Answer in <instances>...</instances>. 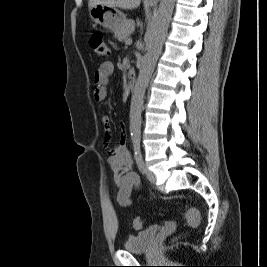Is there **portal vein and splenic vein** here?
<instances>
[{
    "mask_svg": "<svg viewBox=\"0 0 267 267\" xmlns=\"http://www.w3.org/2000/svg\"><path fill=\"white\" fill-rule=\"evenodd\" d=\"M126 44H131L132 43V39L131 38H128L126 41H125Z\"/></svg>",
    "mask_w": 267,
    "mask_h": 267,
    "instance_id": "obj_1",
    "label": "portal vein and splenic vein"
}]
</instances>
